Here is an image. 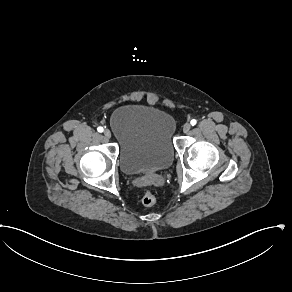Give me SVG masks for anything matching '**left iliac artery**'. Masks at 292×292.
Wrapping results in <instances>:
<instances>
[{"instance_id": "left-iliac-artery-1", "label": "left iliac artery", "mask_w": 292, "mask_h": 292, "mask_svg": "<svg viewBox=\"0 0 292 292\" xmlns=\"http://www.w3.org/2000/svg\"><path fill=\"white\" fill-rule=\"evenodd\" d=\"M190 123H191L192 126H194V125H196L197 121H196L195 119H192V120L190 121Z\"/></svg>"}]
</instances>
